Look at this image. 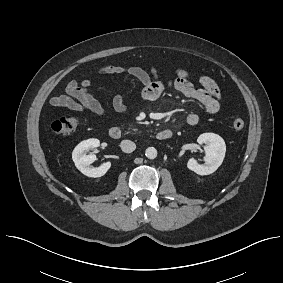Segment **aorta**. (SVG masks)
I'll use <instances>...</instances> for the list:
<instances>
[{
  "label": "aorta",
  "instance_id": "762f6f07",
  "mask_svg": "<svg viewBox=\"0 0 283 283\" xmlns=\"http://www.w3.org/2000/svg\"><path fill=\"white\" fill-rule=\"evenodd\" d=\"M145 155L148 159H155L157 157V150L154 147H148Z\"/></svg>",
  "mask_w": 283,
  "mask_h": 283
}]
</instances>
